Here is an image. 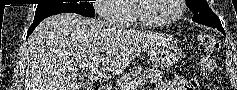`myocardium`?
<instances>
[{
	"label": "myocardium",
	"mask_w": 237,
	"mask_h": 90,
	"mask_svg": "<svg viewBox=\"0 0 237 90\" xmlns=\"http://www.w3.org/2000/svg\"><path fill=\"white\" fill-rule=\"evenodd\" d=\"M139 1H147V0L131 1V3L134 10V16L138 21L140 28H160V27L171 26L177 23L184 13L185 6L182 3H187V0H174L176 11L170 18L166 20L150 21L145 19L141 15L138 7Z\"/></svg>",
	"instance_id": "1"
}]
</instances>
